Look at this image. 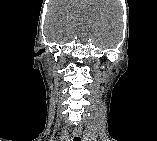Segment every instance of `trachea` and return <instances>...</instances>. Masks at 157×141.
Segmentation results:
<instances>
[{
    "instance_id": "trachea-1",
    "label": "trachea",
    "mask_w": 157,
    "mask_h": 141,
    "mask_svg": "<svg viewBox=\"0 0 157 141\" xmlns=\"http://www.w3.org/2000/svg\"><path fill=\"white\" fill-rule=\"evenodd\" d=\"M73 141H81V138L78 136V137H74Z\"/></svg>"
}]
</instances>
